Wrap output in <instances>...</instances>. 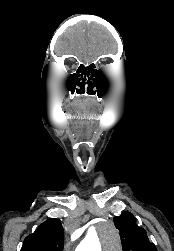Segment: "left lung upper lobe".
Returning <instances> with one entry per match:
<instances>
[{"label": "left lung upper lobe", "mask_w": 174, "mask_h": 251, "mask_svg": "<svg viewBox=\"0 0 174 251\" xmlns=\"http://www.w3.org/2000/svg\"><path fill=\"white\" fill-rule=\"evenodd\" d=\"M114 224L120 231L123 251H157L146 231L136 224V219L130 212L114 217Z\"/></svg>", "instance_id": "left-lung-upper-lobe-1"}]
</instances>
